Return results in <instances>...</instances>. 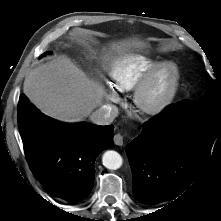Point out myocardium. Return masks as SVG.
I'll list each match as a JSON object with an SVG mask.
<instances>
[{
  "label": "myocardium",
  "instance_id": "myocardium-1",
  "mask_svg": "<svg viewBox=\"0 0 221 221\" xmlns=\"http://www.w3.org/2000/svg\"><path fill=\"white\" fill-rule=\"evenodd\" d=\"M163 70H169L171 81L167 90L158 98H152L151 93L158 74ZM180 85V69L173 61L156 63L137 85L134 92V102L137 107L147 114H158L165 110L174 100Z\"/></svg>",
  "mask_w": 221,
  "mask_h": 221
}]
</instances>
